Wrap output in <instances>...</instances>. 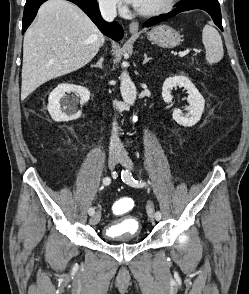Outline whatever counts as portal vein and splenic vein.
Here are the masks:
<instances>
[{
	"instance_id": "obj_1",
	"label": "portal vein and splenic vein",
	"mask_w": 249,
	"mask_h": 294,
	"mask_svg": "<svg viewBox=\"0 0 249 294\" xmlns=\"http://www.w3.org/2000/svg\"><path fill=\"white\" fill-rule=\"evenodd\" d=\"M188 53H189V50H187V51H183V52H180V53H179V56H180V57H184V56H186Z\"/></svg>"
}]
</instances>
